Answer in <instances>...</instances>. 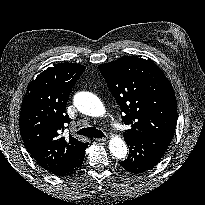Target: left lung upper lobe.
<instances>
[{"mask_svg":"<svg viewBox=\"0 0 205 205\" xmlns=\"http://www.w3.org/2000/svg\"><path fill=\"white\" fill-rule=\"evenodd\" d=\"M110 92L131 125L125 137L173 135L177 105L172 85L151 60L125 56L98 66Z\"/></svg>","mask_w":205,"mask_h":205,"instance_id":"1","label":"left lung upper lobe"}]
</instances>
